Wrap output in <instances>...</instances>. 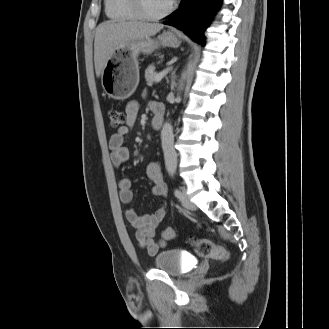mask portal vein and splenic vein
Segmentation results:
<instances>
[{"label":"portal vein and splenic vein","mask_w":329,"mask_h":329,"mask_svg":"<svg viewBox=\"0 0 329 329\" xmlns=\"http://www.w3.org/2000/svg\"><path fill=\"white\" fill-rule=\"evenodd\" d=\"M170 69H166V70H163L161 71L160 73H158L156 76H155V82H160L162 80V78L168 73Z\"/></svg>","instance_id":"1"}]
</instances>
